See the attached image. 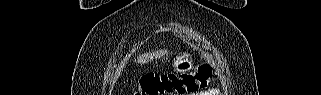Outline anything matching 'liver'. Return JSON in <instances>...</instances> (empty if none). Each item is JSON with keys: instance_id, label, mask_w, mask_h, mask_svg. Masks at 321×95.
<instances>
[{"instance_id": "1", "label": "liver", "mask_w": 321, "mask_h": 95, "mask_svg": "<svg viewBox=\"0 0 321 95\" xmlns=\"http://www.w3.org/2000/svg\"><path fill=\"white\" fill-rule=\"evenodd\" d=\"M165 53H166V50H159V51H155L153 53H146L143 55H139L137 57V62L140 64H144V63H147V62L153 60L154 58H158L160 56H163V54H165Z\"/></svg>"}]
</instances>
